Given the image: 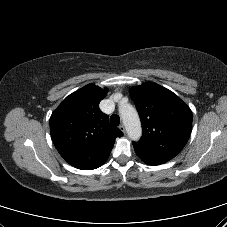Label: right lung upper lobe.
<instances>
[{"mask_svg":"<svg viewBox=\"0 0 227 227\" xmlns=\"http://www.w3.org/2000/svg\"><path fill=\"white\" fill-rule=\"evenodd\" d=\"M106 93L88 84L66 97L50 117V133L60 155L73 167L92 170L109 157L123 133L99 109Z\"/></svg>","mask_w":227,"mask_h":227,"instance_id":"cb5924a9","label":"right lung upper lobe"}]
</instances>
